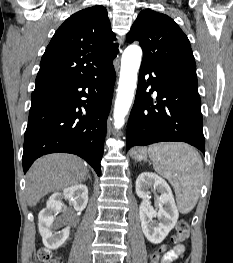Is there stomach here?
I'll list each match as a JSON object with an SVG mask.
<instances>
[{
    "instance_id": "obj_1",
    "label": "stomach",
    "mask_w": 233,
    "mask_h": 263,
    "mask_svg": "<svg viewBox=\"0 0 233 263\" xmlns=\"http://www.w3.org/2000/svg\"><path fill=\"white\" fill-rule=\"evenodd\" d=\"M132 157L138 161V162H141V161H146L147 160V152L145 149H137V150H134L132 153H131Z\"/></svg>"
}]
</instances>
